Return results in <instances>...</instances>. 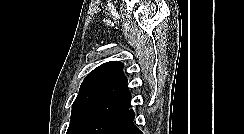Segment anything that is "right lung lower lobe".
<instances>
[{
	"mask_svg": "<svg viewBox=\"0 0 244 134\" xmlns=\"http://www.w3.org/2000/svg\"><path fill=\"white\" fill-rule=\"evenodd\" d=\"M134 117V111L128 109L115 126L106 134H142L133 123Z\"/></svg>",
	"mask_w": 244,
	"mask_h": 134,
	"instance_id": "98d812e1",
	"label": "right lung lower lobe"
}]
</instances>
